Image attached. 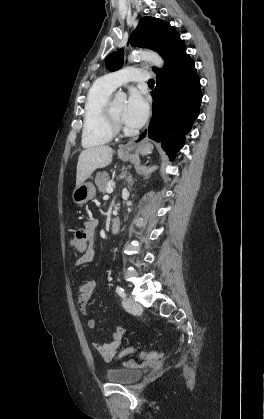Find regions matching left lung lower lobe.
Segmentation results:
<instances>
[{
  "label": "left lung lower lobe",
  "mask_w": 264,
  "mask_h": 419,
  "mask_svg": "<svg viewBox=\"0 0 264 419\" xmlns=\"http://www.w3.org/2000/svg\"><path fill=\"white\" fill-rule=\"evenodd\" d=\"M165 65L156 71L153 114L148 137L161 142L163 150L174 160L185 137L199 115L202 93L194 61L186 53L180 37L162 53Z\"/></svg>",
  "instance_id": "left-lung-lower-lobe-1"
}]
</instances>
